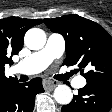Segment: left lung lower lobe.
Segmentation results:
<instances>
[{
	"label": "left lung lower lobe",
	"instance_id": "obj_1",
	"mask_svg": "<svg viewBox=\"0 0 112 112\" xmlns=\"http://www.w3.org/2000/svg\"><path fill=\"white\" fill-rule=\"evenodd\" d=\"M112 108V86L86 84L78 95L62 107V112H109Z\"/></svg>",
	"mask_w": 112,
	"mask_h": 112
}]
</instances>
